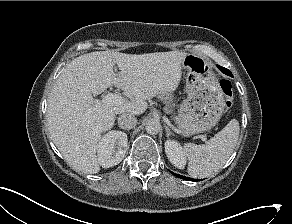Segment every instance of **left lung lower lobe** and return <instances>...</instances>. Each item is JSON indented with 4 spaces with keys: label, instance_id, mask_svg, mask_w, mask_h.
Masks as SVG:
<instances>
[{
    "label": "left lung lower lobe",
    "instance_id": "1",
    "mask_svg": "<svg viewBox=\"0 0 292 224\" xmlns=\"http://www.w3.org/2000/svg\"><path fill=\"white\" fill-rule=\"evenodd\" d=\"M218 67L222 70V68L220 66H218ZM174 175L177 176L178 178L186 179V180H189V181H197V179L185 177V176H182V175H179V174H174Z\"/></svg>",
    "mask_w": 292,
    "mask_h": 224
}]
</instances>
